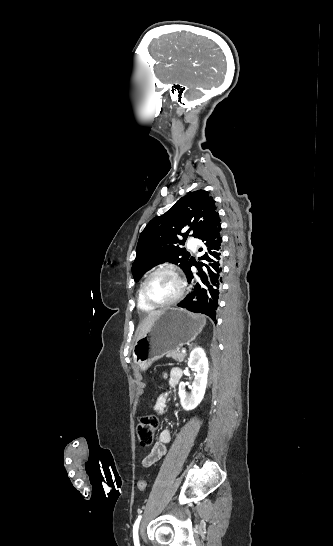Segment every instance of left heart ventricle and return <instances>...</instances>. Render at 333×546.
I'll return each instance as SVG.
<instances>
[{"instance_id":"b2bd125f","label":"left heart ventricle","mask_w":333,"mask_h":546,"mask_svg":"<svg viewBox=\"0 0 333 546\" xmlns=\"http://www.w3.org/2000/svg\"><path fill=\"white\" fill-rule=\"evenodd\" d=\"M178 291V280L168 271H162L155 274L147 284V293L149 297L159 303L172 299Z\"/></svg>"}]
</instances>
